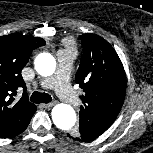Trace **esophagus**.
<instances>
[{
	"instance_id": "1",
	"label": "esophagus",
	"mask_w": 153,
	"mask_h": 153,
	"mask_svg": "<svg viewBox=\"0 0 153 153\" xmlns=\"http://www.w3.org/2000/svg\"><path fill=\"white\" fill-rule=\"evenodd\" d=\"M54 104H55V102H50V103H47V104H42V106H43L44 108H51V107L54 106Z\"/></svg>"
}]
</instances>
